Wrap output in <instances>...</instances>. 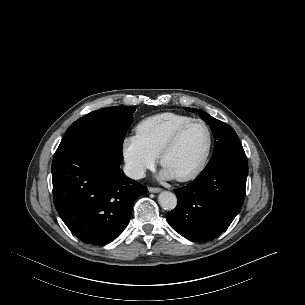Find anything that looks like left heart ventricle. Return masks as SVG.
I'll return each mask as SVG.
<instances>
[{
  "mask_svg": "<svg viewBox=\"0 0 305 305\" xmlns=\"http://www.w3.org/2000/svg\"><path fill=\"white\" fill-rule=\"evenodd\" d=\"M208 141V135L202 124H193L186 129L179 144L170 152L164 167L174 176H180L193 170L200 162Z\"/></svg>",
  "mask_w": 305,
  "mask_h": 305,
  "instance_id": "left-heart-ventricle-1",
  "label": "left heart ventricle"
}]
</instances>
